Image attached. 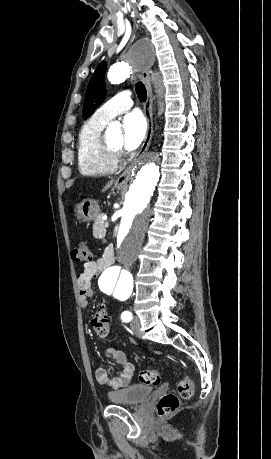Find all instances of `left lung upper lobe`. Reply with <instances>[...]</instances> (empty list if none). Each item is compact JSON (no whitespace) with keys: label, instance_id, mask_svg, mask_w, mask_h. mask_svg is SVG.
Wrapping results in <instances>:
<instances>
[{"label":"left lung upper lobe","instance_id":"left-lung-upper-lobe-1","mask_svg":"<svg viewBox=\"0 0 271 459\" xmlns=\"http://www.w3.org/2000/svg\"><path fill=\"white\" fill-rule=\"evenodd\" d=\"M106 64L102 62L95 70L87 87L82 117L87 119L92 112L99 107L106 96L104 83Z\"/></svg>","mask_w":271,"mask_h":459}]
</instances>
